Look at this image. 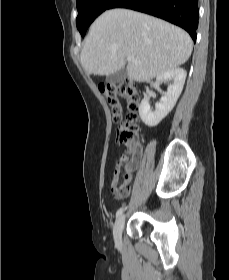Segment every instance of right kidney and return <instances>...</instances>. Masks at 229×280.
I'll return each mask as SVG.
<instances>
[{"label":"right kidney","instance_id":"right-kidney-1","mask_svg":"<svg viewBox=\"0 0 229 280\" xmlns=\"http://www.w3.org/2000/svg\"><path fill=\"white\" fill-rule=\"evenodd\" d=\"M186 71L182 68H174L157 76L158 82L171 80L172 83L168 86L167 91L156 103L155 110L152 111L149 98H144L139 106V115L145 125L154 127L158 125L174 108L185 83Z\"/></svg>","mask_w":229,"mask_h":280}]
</instances>
